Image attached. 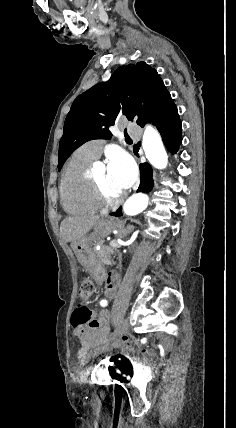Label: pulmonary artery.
<instances>
[{"label":"pulmonary artery","instance_id":"pulmonary-artery-1","mask_svg":"<svg viewBox=\"0 0 236 428\" xmlns=\"http://www.w3.org/2000/svg\"><path fill=\"white\" fill-rule=\"evenodd\" d=\"M93 143H89L85 145V151L87 153L88 156H90L92 159H97L101 152H102V148L103 146L100 145H92Z\"/></svg>","mask_w":236,"mask_h":428}]
</instances>
